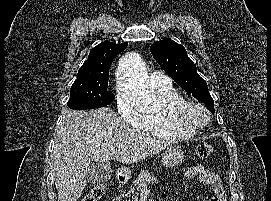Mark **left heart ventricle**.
Here are the masks:
<instances>
[{
  "instance_id": "obj_1",
  "label": "left heart ventricle",
  "mask_w": 271,
  "mask_h": 201,
  "mask_svg": "<svg viewBox=\"0 0 271 201\" xmlns=\"http://www.w3.org/2000/svg\"><path fill=\"white\" fill-rule=\"evenodd\" d=\"M193 115L194 117L199 120V121H202L204 119V116L202 113L198 112V111H193Z\"/></svg>"
}]
</instances>
